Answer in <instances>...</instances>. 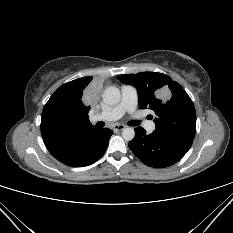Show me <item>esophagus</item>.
<instances>
[{
    "label": "esophagus",
    "instance_id": "34e87169",
    "mask_svg": "<svg viewBox=\"0 0 233 233\" xmlns=\"http://www.w3.org/2000/svg\"><path fill=\"white\" fill-rule=\"evenodd\" d=\"M125 128H126V126L123 125V124H116V125L113 126V129H114V130H117V131H122V130H124Z\"/></svg>",
    "mask_w": 233,
    "mask_h": 233
}]
</instances>
